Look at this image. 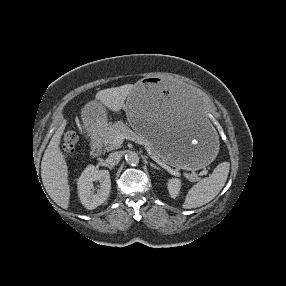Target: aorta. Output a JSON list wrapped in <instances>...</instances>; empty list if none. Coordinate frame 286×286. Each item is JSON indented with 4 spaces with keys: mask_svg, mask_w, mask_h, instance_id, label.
<instances>
[{
    "mask_svg": "<svg viewBox=\"0 0 286 286\" xmlns=\"http://www.w3.org/2000/svg\"><path fill=\"white\" fill-rule=\"evenodd\" d=\"M125 159L129 165L136 166L139 164V156L135 152L127 153Z\"/></svg>",
    "mask_w": 286,
    "mask_h": 286,
    "instance_id": "1",
    "label": "aorta"
}]
</instances>
